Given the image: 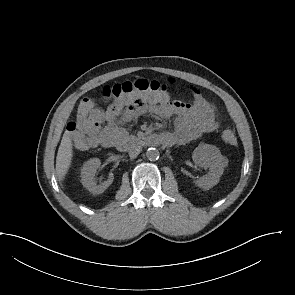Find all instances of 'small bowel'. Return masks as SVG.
<instances>
[{"instance_id":"small-bowel-1","label":"small bowel","mask_w":295,"mask_h":295,"mask_svg":"<svg viewBox=\"0 0 295 295\" xmlns=\"http://www.w3.org/2000/svg\"><path fill=\"white\" fill-rule=\"evenodd\" d=\"M143 114L163 120L174 118V129L162 134L168 140L167 145L190 143L219 127L216 108L200 92L195 91L192 101L183 102L171 99L164 90L116 98L106 110L95 108L82 125L68 123L67 131L78 150L115 146L126 136L123 125Z\"/></svg>"}]
</instances>
